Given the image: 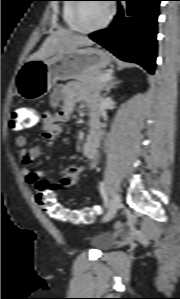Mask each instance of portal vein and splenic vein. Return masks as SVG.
<instances>
[{
	"instance_id": "portal-vein-and-splenic-vein-1",
	"label": "portal vein and splenic vein",
	"mask_w": 180,
	"mask_h": 299,
	"mask_svg": "<svg viewBox=\"0 0 180 299\" xmlns=\"http://www.w3.org/2000/svg\"><path fill=\"white\" fill-rule=\"evenodd\" d=\"M111 79V75L110 74H106L104 75L101 79L100 82H107Z\"/></svg>"
}]
</instances>
